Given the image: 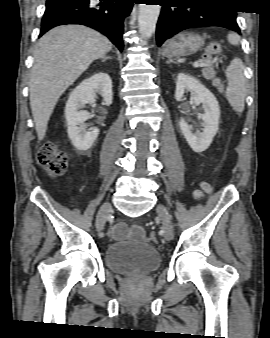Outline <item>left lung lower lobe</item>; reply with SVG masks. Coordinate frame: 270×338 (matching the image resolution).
Returning <instances> with one entry per match:
<instances>
[{
  "label": "left lung lower lobe",
  "instance_id": "left-lung-lower-lobe-1",
  "mask_svg": "<svg viewBox=\"0 0 270 338\" xmlns=\"http://www.w3.org/2000/svg\"><path fill=\"white\" fill-rule=\"evenodd\" d=\"M162 6L156 28L157 45L178 32L198 26H220L240 33L237 11L225 0H158Z\"/></svg>",
  "mask_w": 270,
  "mask_h": 338
}]
</instances>
